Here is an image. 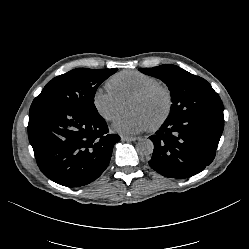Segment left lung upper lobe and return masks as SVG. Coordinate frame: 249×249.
<instances>
[{
  "label": "left lung upper lobe",
  "instance_id": "5c2ea615",
  "mask_svg": "<svg viewBox=\"0 0 249 249\" xmlns=\"http://www.w3.org/2000/svg\"><path fill=\"white\" fill-rule=\"evenodd\" d=\"M139 70L162 80L168 86L172 105L167 120L200 112L223 111L219 95L201 77L172 64Z\"/></svg>",
  "mask_w": 249,
  "mask_h": 249
}]
</instances>
